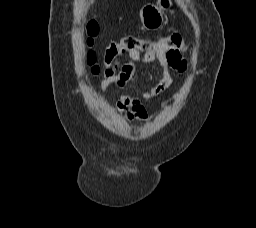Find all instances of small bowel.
Wrapping results in <instances>:
<instances>
[{
  "label": "small bowel",
  "instance_id": "1",
  "mask_svg": "<svg viewBox=\"0 0 256 228\" xmlns=\"http://www.w3.org/2000/svg\"><path fill=\"white\" fill-rule=\"evenodd\" d=\"M158 48L149 50L144 54L140 50H130L125 52L115 64H105L103 69V80L101 88L104 90L110 85L122 87L128 83H132L138 78L135 72V64H148L157 60L162 68V78L151 89L146 90L142 94V98H131L121 96L117 102L119 112L128 120H145L147 112L144 107V101L160 95L167 90L172 82L171 70L184 71L186 62L182 58L181 52L170 49L166 45V37L157 40ZM128 59L129 62L121 64L122 59Z\"/></svg>",
  "mask_w": 256,
  "mask_h": 228
}]
</instances>
